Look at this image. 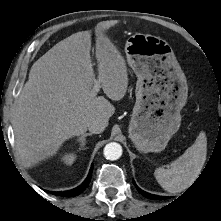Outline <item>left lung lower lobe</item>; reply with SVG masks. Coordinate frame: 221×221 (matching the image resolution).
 Wrapping results in <instances>:
<instances>
[{"label":"left lung lower lobe","mask_w":221,"mask_h":221,"mask_svg":"<svg viewBox=\"0 0 221 221\" xmlns=\"http://www.w3.org/2000/svg\"><path fill=\"white\" fill-rule=\"evenodd\" d=\"M133 183L135 184V182L133 181ZM136 186V185H135ZM137 187V186H136ZM137 190L143 195L145 196L146 198L148 199H153V200H162V199H166L167 197H161V196H157V195H153V194H150V193H147L143 190H141L139 187H137Z\"/></svg>","instance_id":"1"}]
</instances>
